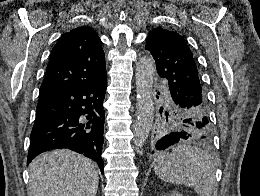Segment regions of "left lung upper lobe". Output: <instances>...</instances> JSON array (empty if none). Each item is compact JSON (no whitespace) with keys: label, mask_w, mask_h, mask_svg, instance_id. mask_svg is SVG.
<instances>
[{"label":"left lung upper lobe","mask_w":260,"mask_h":196,"mask_svg":"<svg viewBox=\"0 0 260 196\" xmlns=\"http://www.w3.org/2000/svg\"><path fill=\"white\" fill-rule=\"evenodd\" d=\"M160 77L168 79L170 98L160 107L148 138L152 153L167 134L183 132L187 139L208 143L212 139V121L198 64L184 37L173 30L157 27L146 40ZM158 98V96H157Z\"/></svg>","instance_id":"obj_1"}]
</instances>
